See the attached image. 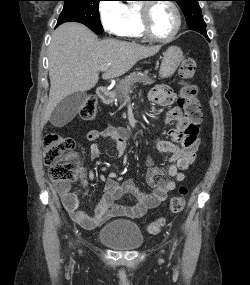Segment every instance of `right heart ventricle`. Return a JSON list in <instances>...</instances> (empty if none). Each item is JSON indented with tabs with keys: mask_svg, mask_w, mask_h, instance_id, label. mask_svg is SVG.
I'll return each mask as SVG.
<instances>
[{
	"mask_svg": "<svg viewBox=\"0 0 250 285\" xmlns=\"http://www.w3.org/2000/svg\"><path fill=\"white\" fill-rule=\"evenodd\" d=\"M128 9V20L127 25L121 36L136 38V39H144L145 36L142 33L141 24H140V16L137 5H129Z\"/></svg>",
	"mask_w": 250,
	"mask_h": 285,
	"instance_id": "obj_1",
	"label": "right heart ventricle"
}]
</instances>
